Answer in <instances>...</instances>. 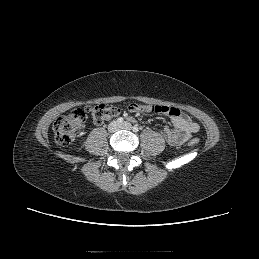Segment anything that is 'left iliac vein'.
Returning a JSON list of instances; mask_svg holds the SVG:
<instances>
[{"label": "left iliac vein", "instance_id": "obj_1", "mask_svg": "<svg viewBox=\"0 0 259 259\" xmlns=\"http://www.w3.org/2000/svg\"><path fill=\"white\" fill-rule=\"evenodd\" d=\"M120 128L121 129H126V130H131L132 129V125L129 122H124V123L120 124Z\"/></svg>", "mask_w": 259, "mask_h": 259}]
</instances>
